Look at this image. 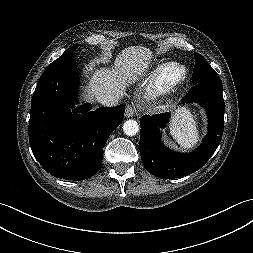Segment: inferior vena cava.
I'll use <instances>...</instances> for the list:
<instances>
[{"label": "inferior vena cava", "mask_w": 253, "mask_h": 253, "mask_svg": "<svg viewBox=\"0 0 253 253\" xmlns=\"http://www.w3.org/2000/svg\"><path fill=\"white\" fill-rule=\"evenodd\" d=\"M123 95L122 94H117V95H111V94H106V95H97L96 99L97 101L102 104L103 106H116L118 102L122 99Z\"/></svg>", "instance_id": "obj_1"}]
</instances>
